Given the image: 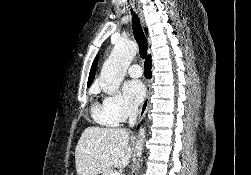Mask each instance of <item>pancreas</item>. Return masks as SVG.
<instances>
[{
  "mask_svg": "<svg viewBox=\"0 0 251 175\" xmlns=\"http://www.w3.org/2000/svg\"><path fill=\"white\" fill-rule=\"evenodd\" d=\"M112 169H103L102 175H110Z\"/></svg>",
  "mask_w": 251,
  "mask_h": 175,
  "instance_id": "pancreas-1",
  "label": "pancreas"
}]
</instances>
